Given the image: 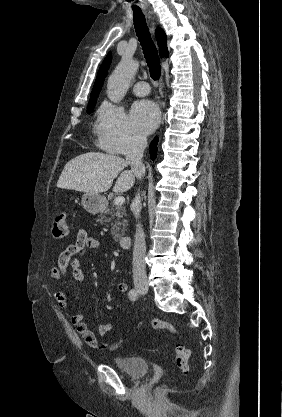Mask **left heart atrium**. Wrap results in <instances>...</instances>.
<instances>
[{"mask_svg":"<svg viewBox=\"0 0 282 417\" xmlns=\"http://www.w3.org/2000/svg\"><path fill=\"white\" fill-rule=\"evenodd\" d=\"M160 112L157 105L151 101L137 102L131 111V121L141 132L151 131L159 121Z\"/></svg>","mask_w":282,"mask_h":417,"instance_id":"39dd6f15","label":"left heart atrium"}]
</instances>
